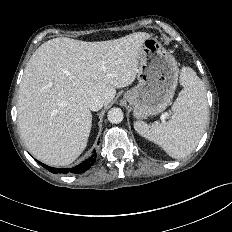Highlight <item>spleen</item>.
I'll use <instances>...</instances> for the list:
<instances>
[{"instance_id":"3e777b00","label":"spleen","mask_w":232,"mask_h":232,"mask_svg":"<svg viewBox=\"0 0 232 232\" xmlns=\"http://www.w3.org/2000/svg\"><path fill=\"white\" fill-rule=\"evenodd\" d=\"M180 83L184 88L172 106L170 120L134 124L135 130L159 145L169 156L181 159L189 155L201 139L208 121L206 90L201 79L190 67H182Z\"/></svg>"}]
</instances>
